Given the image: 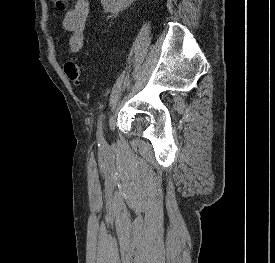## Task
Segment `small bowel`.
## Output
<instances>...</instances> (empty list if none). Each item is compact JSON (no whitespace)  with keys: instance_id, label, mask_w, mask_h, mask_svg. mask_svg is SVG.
<instances>
[{"instance_id":"c3829d8e","label":"small bowel","mask_w":275,"mask_h":263,"mask_svg":"<svg viewBox=\"0 0 275 263\" xmlns=\"http://www.w3.org/2000/svg\"><path fill=\"white\" fill-rule=\"evenodd\" d=\"M88 0H76L74 6L67 11L63 19V27L69 34V51L79 52L84 44V29L89 13Z\"/></svg>"}]
</instances>
